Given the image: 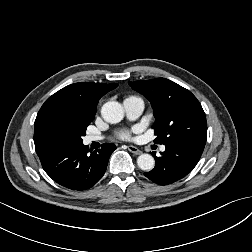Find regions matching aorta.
<instances>
[{"mask_svg":"<svg viewBox=\"0 0 252 252\" xmlns=\"http://www.w3.org/2000/svg\"><path fill=\"white\" fill-rule=\"evenodd\" d=\"M101 114L108 123H119L124 117V109L119 102L109 101L102 106ZM137 165L143 171H150L154 168L155 160L150 154H141Z\"/></svg>","mask_w":252,"mask_h":252,"instance_id":"aorta-1","label":"aorta"}]
</instances>
